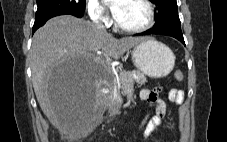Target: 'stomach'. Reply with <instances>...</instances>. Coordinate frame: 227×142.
<instances>
[{
    "label": "stomach",
    "instance_id": "0dacf381",
    "mask_svg": "<svg viewBox=\"0 0 227 142\" xmlns=\"http://www.w3.org/2000/svg\"><path fill=\"white\" fill-rule=\"evenodd\" d=\"M131 55L137 69L151 78L167 76L175 65L172 50L153 39H147L135 45Z\"/></svg>",
    "mask_w": 227,
    "mask_h": 142
}]
</instances>
